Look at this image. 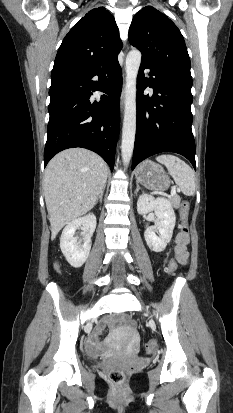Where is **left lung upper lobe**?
I'll return each mask as SVG.
<instances>
[{
	"label": "left lung upper lobe",
	"mask_w": 233,
	"mask_h": 413,
	"mask_svg": "<svg viewBox=\"0 0 233 413\" xmlns=\"http://www.w3.org/2000/svg\"><path fill=\"white\" fill-rule=\"evenodd\" d=\"M129 42L141 51L142 61L192 85L184 38L165 14L152 6L144 7L132 20Z\"/></svg>",
	"instance_id": "5c2ea615"
}]
</instances>
